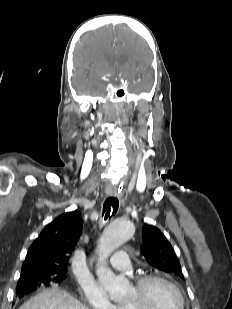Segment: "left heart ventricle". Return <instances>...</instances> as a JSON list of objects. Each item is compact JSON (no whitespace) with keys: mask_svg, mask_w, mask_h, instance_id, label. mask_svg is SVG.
I'll return each instance as SVG.
<instances>
[{"mask_svg":"<svg viewBox=\"0 0 232 309\" xmlns=\"http://www.w3.org/2000/svg\"><path fill=\"white\" fill-rule=\"evenodd\" d=\"M135 298L134 287L129 291L126 301ZM147 306L149 309H180L181 301L178 294L169 285L155 281L147 288Z\"/></svg>","mask_w":232,"mask_h":309,"instance_id":"obj_1","label":"left heart ventricle"}]
</instances>
